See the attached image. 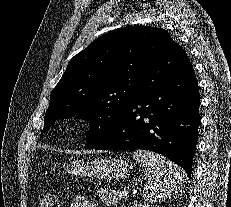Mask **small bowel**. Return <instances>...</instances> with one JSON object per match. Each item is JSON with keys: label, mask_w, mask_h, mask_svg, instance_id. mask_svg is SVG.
Wrapping results in <instances>:
<instances>
[{"label": "small bowel", "mask_w": 231, "mask_h": 207, "mask_svg": "<svg viewBox=\"0 0 231 207\" xmlns=\"http://www.w3.org/2000/svg\"><path fill=\"white\" fill-rule=\"evenodd\" d=\"M70 207H96V205L89 199L77 196L72 200Z\"/></svg>", "instance_id": "small-bowel-1"}]
</instances>
